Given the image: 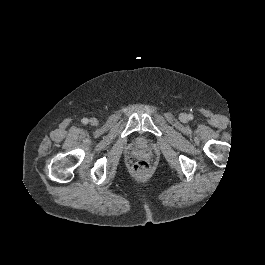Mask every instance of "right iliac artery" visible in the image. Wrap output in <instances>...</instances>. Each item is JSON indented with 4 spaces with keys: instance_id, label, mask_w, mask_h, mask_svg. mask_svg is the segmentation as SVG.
Returning <instances> with one entry per match:
<instances>
[{
    "instance_id": "82829eb1",
    "label": "right iliac artery",
    "mask_w": 265,
    "mask_h": 265,
    "mask_svg": "<svg viewBox=\"0 0 265 265\" xmlns=\"http://www.w3.org/2000/svg\"><path fill=\"white\" fill-rule=\"evenodd\" d=\"M82 123H83L84 125L88 124V119H87V118H83V119H82Z\"/></svg>"
}]
</instances>
